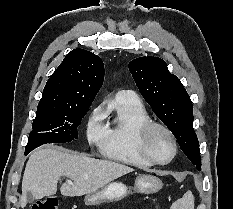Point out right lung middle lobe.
I'll return each mask as SVG.
<instances>
[{"instance_id": "obj_1", "label": "right lung middle lobe", "mask_w": 233, "mask_h": 209, "mask_svg": "<svg viewBox=\"0 0 233 209\" xmlns=\"http://www.w3.org/2000/svg\"><path fill=\"white\" fill-rule=\"evenodd\" d=\"M90 105L73 107L56 113L37 111L33 121V130L29 134L25 154L46 143H65L77 139V126Z\"/></svg>"}]
</instances>
